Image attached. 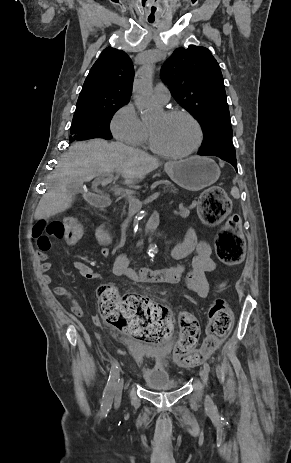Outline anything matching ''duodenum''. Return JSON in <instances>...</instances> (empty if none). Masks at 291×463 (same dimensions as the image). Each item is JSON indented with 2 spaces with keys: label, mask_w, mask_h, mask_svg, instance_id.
Returning <instances> with one entry per match:
<instances>
[{
  "label": "duodenum",
  "mask_w": 291,
  "mask_h": 463,
  "mask_svg": "<svg viewBox=\"0 0 291 463\" xmlns=\"http://www.w3.org/2000/svg\"><path fill=\"white\" fill-rule=\"evenodd\" d=\"M89 201L92 205L99 207V208H104L108 206L110 202V196L107 193L104 192H92V194L89 196ZM157 220L156 218H150L146 225H145V230L147 232H151L155 229ZM145 245V241H141L139 243V247L143 248Z\"/></svg>",
  "instance_id": "duodenum-1"
}]
</instances>
